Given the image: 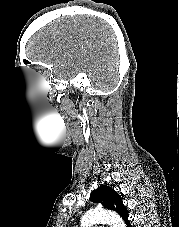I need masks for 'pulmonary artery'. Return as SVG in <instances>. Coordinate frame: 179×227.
I'll list each match as a JSON object with an SVG mask.
<instances>
[{"instance_id": "1", "label": "pulmonary artery", "mask_w": 179, "mask_h": 227, "mask_svg": "<svg viewBox=\"0 0 179 227\" xmlns=\"http://www.w3.org/2000/svg\"><path fill=\"white\" fill-rule=\"evenodd\" d=\"M94 227H101V226H97V225H96V226H94Z\"/></svg>"}]
</instances>
